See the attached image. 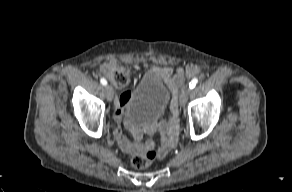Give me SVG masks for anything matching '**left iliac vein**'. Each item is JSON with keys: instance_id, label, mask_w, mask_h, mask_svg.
Instances as JSON below:
<instances>
[{"instance_id": "1", "label": "left iliac vein", "mask_w": 292, "mask_h": 192, "mask_svg": "<svg viewBox=\"0 0 292 192\" xmlns=\"http://www.w3.org/2000/svg\"><path fill=\"white\" fill-rule=\"evenodd\" d=\"M189 93H190L189 86L188 85L183 86L179 96L181 106H184L187 103Z\"/></svg>"}]
</instances>
